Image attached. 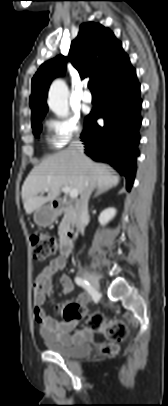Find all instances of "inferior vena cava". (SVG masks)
<instances>
[{
	"label": "inferior vena cava",
	"instance_id": "inferior-vena-cava-1",
	"mask_svg": "<svg viewBox=\"0 0 168 406\" xmlns=\"http://www.w3.org/2000/svg\"><path fill=\"white\" fill-rule=\"evenodd\" d=\"M69 149L75 154V156L82 158L84 156V146L80 139L73 140L70 145ZM87 181V188L85 192L81 195L80 199V207L76 217V228L77 230H83L86 223L89 220V212H88V201L93 189V177L88 175L86 177Z\"/></svg>",
	"mask_w": 168,
	"mask_h": 406
}]
</instances>
